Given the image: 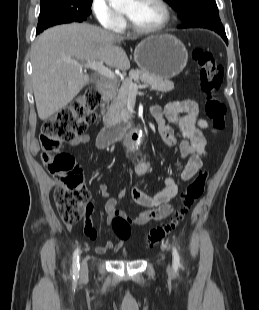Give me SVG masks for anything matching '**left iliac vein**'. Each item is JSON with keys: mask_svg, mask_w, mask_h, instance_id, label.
Instances as JSON below:
<instances>
[{"mask_svg": "<svg viewBox=\"0 0 259 310\" xmlns=\"http://www.w3.org/2000/svg\"><path fill=\"white\" fill-rule=\"evenodd\" d=\"M167 272H168L169 274L172 273V267H171L170 264H168V266H167Z\"/></svg>", "mask_w": 259, "mask_h": 310, "instance_id": "1", "label": "left iliac vein"}]
</instances>
